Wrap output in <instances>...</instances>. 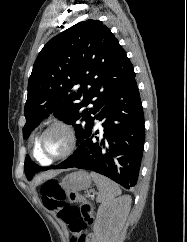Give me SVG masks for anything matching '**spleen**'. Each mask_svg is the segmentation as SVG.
<instances>
[{"instance_id": "3e777b00", "label": "spleen", "mask_w": 187, "mask_h": 242, "mask_svg": "<svg viewBox=\"0 0 187 242\" xmlns=\"http://www.w3.org/2000/svg\"><path fill=\"white\" fill-rule=\"evenodd\" d=\"M90 176L94 180L98 188L97 202L105 203L113 200L121 194L120 187L109 178L95 172H91Z\"/></svg>"}]
</instances>
